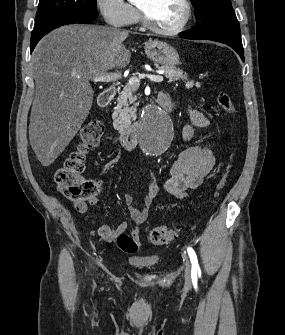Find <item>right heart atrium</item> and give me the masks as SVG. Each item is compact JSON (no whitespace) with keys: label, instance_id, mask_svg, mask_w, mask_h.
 I'll return each instance as SVG.
<instances>
[{"label":"right heart atrium","instance_id":"obj_1","mask_svg":"<svg viewBox=\"0 0 285 335\" xmlns=\"http://www.w3.org/2000/svg\"><path fill=\"white\" fill-rule=\"evenodd\" d=\"M100 8L105 22L115 28L132 25L138 19L133 1H101Z\"/></svg>","mask_w":285,"mask_h":335}]
</instances>
